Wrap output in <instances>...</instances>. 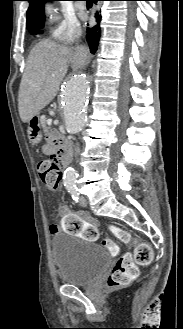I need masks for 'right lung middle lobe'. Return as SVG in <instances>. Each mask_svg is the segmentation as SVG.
Returning a JSON list of instances; mask_svg holds the SVG:
<instances>
[{
  "instance_id": "obj_1",
  "label": "right lung middle lobe",
  "mask_w": 183,
  "mask_h": 329,
  "mask_svg": "<svg viewBox=\"0 0 183 329\" xmlns=\"http://www.w3.org/2000/svg\"><path fill=\"white\" fill-rule=\"evenodd\" d=\"M44 23H39L36 26H34L29 32L31 34H39L42 33L43 31L41 30L43 28Z\"/></svg>"
}]
</instances>
